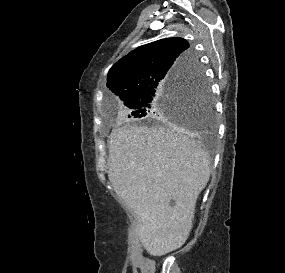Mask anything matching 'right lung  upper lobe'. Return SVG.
Listing matches in <instances>:
<instances>
[{
  "mask_svg": "<svg viewBox=\"0 0 285 273\" xmlns=\"http://www.w3.org/2000/svg\"><path fill=\"white\" fill-rule=\"evenodd\" d=\"M183 38H166L131 51L111 67L107 87L125 103L198 67Z\"/></svg>",
  "mask_w": 285,
  "mask_h": 273,
  "instance_id": "right-lung-upper-lobe-1",
  "label": "right lung upper lobe"
}]
</instances>
